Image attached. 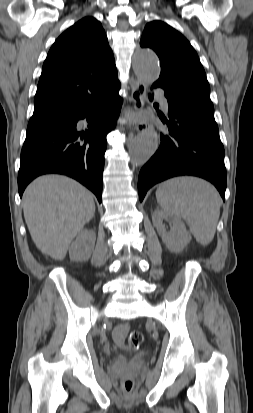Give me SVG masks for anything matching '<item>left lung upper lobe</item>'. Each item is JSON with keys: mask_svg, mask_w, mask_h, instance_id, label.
<instances>
[{"mask_svg": "<svg viewBox=\"0 0 253 413\" xmlns=\"http://www.w3.org/2000/svg\"><path fill=\"white\" fill-rule=\"evenodd\" d=\"M140 45L153 49L159 56L161 74L154 85L213 106L203 66L196 51L181 33L162 21H153L145 26Z\"/></svg>", "mask_w": 253, "mask_h": 413, "instance_id": "obj_1", "label": "left lung upper lobe"}]
</instances>
